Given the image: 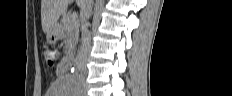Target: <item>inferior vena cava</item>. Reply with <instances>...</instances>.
<instances>
[{
	"label": "inferior vena cava",
	"mask_w": 232,
	"mask_h": 96,
	"mask_svg": "<svg viewBox=\"0 0 232 96\" xmlns=\"http://www.w3.org/2000/svg\"><path fill=\"white\" fill-rule=\"evenodd\" d=\"M92 4L93 0H83L81 3L80 16L82 19L81 24V46L79 55L82 59H85L90 51L91 36L88 30L87 19L91 16L92 13Z\"/></svg>",
	"instance_id": "602c4592"
}]
</instances>
